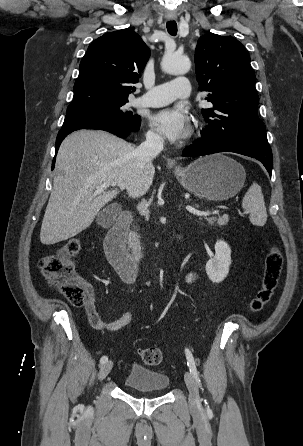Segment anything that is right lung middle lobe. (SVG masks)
Masks as SVG:
<instances>
[{
    "label": "right lung middle lobe",
    "mask_w": 303,
    "mask_h": 446,
    "mask_svg": "<svg viewBox=\"0 0 303 446\" xmlns=\"http://www.w3.org/2000/svg\"><path fill=\"white\" fill-rule=\"evenodd\" d=\"M126 103L127 101H122L83 110H67L63 126L85 119L97 118L110 120L119 123L130 130L138 131L141 118L139 115H133L131 112L123 111L122 106Z\"/></svg>",
    "instance_id": "1"
}]
</instances>
